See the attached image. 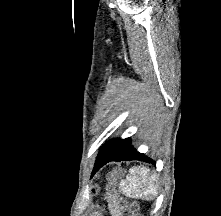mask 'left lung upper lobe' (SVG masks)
<instances>
[{
	"instance_id": "obj_1",
	"label": "left lung upper lobe",
	"mask_w": 221,
	"mask_h": 216,
	"mask_svg": "<svg viewBox=\"0 0 221 216\" xmlns=\"http://www.w3.org/2000/svg\"><path fill=\"white\" fill-rule=\"evenodd\" d=\"M130 143V138L126 139H113L109 141L103 148L102 152L118 153L122 151Z\"/></svg>"
}]
</instances>
